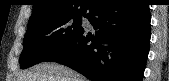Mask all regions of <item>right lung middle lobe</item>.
<instances>
[{
	"instance_id": "dd1d6c3e",
	"label": "right lung middle lobe",
	"mask_w": 169,
	"mask_h": 81,
	"mask_svg": "<svg viewBox=\"0 0 169 81\" xmlns=\"http://www.w3.org/2000/svg\"><path fill=\"white\" fill-rule=\"evenodd\" d=\"M82 16L50 17L29 23L23 40L20 67L26 69L43 62L74 40L83 30Z\"/></svg>"
}]
</instances>
